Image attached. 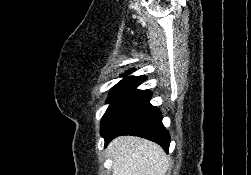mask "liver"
I'll use <instances>...</instances> for the list:
<instances>
[{"instance_id": "obj_1", "label": "liver", "mask_w": 251, "mask_h": 175, "mask_svg": "<svg viewBox=\"0 0 251 175\" xmlns=\"http://www.w3.org/2000/svg\"><path fill=\"white\" fill-rule=\"evenodd\" d=\"M113 159V175H166L169 167L164 149L143 137L119 135L107 147Z\"/></svg>"}]
</instances>
